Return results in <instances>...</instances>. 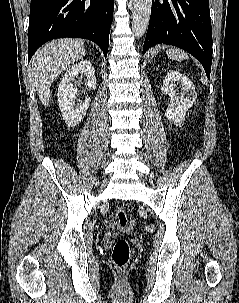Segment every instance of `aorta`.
Wrapping results in <instances>:
<instances>
[{
    "label": "aorta",
    "mask_w": 239,
    "mask_h": 303,
    "mask_svg": "<svg viewBox=\"0 0 239 303\" xmlns=\"http://www.w3.org/2000/svg\"><path fill=\"white\" fill-rule=\"evenodd\" d=\"M152 0H133L132 31L139 38L147 30L151 15Z\"/></svg>",
    "instance_id": "aorta-1"
}]
</instances>
